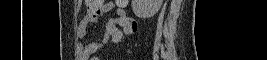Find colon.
Masks as SVG:
<instances>
[{"label":"colon","instance_id":"5ec220e1","mask_svg":"<svg viewBox=\"0 0 267 60\" xmlns=\"http://www.w3.org/2000/svg\"><path fill=\"white\" fill-rule=\"evenodd\" d=\"M86 7H87V15L89 16H97L100 15L104 10V4L106 1L104 0H86ZM120 5H124L127 3L126 0H119L117 1ZM123 26H126V24H123ZM132 28L135 29L136 23L134 22L131 24Z\"/></svg>","mask_w":267,"mask_h":60}]
</instances>
